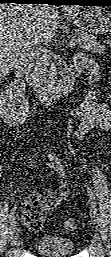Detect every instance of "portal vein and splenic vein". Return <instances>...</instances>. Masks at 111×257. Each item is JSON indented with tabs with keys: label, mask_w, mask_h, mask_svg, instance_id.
<instances>
[{
	"label": "portal vein and splenic vein",
	"mask_w": 111,
	"mask_h": 257,
	"mask_svg": "<svg viewBox=\"0 0 111 257\" xmlns=\"http://www.w3.org/2000/svg\"><path fill=\"white\" fill-rule=\"evenodd\" d=\"M80 41H81V39H78V41H77V42H78V43H80Z\"/></svg>",
	"instance_id": "portal-vein-and-splenic-vein-1"
}]
</instances>
